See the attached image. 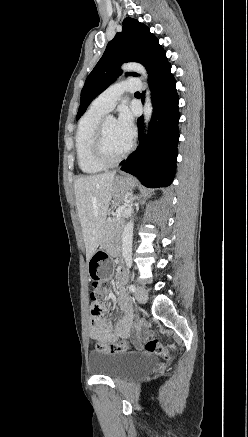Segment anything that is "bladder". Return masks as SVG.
<instances>
[{"instance_id":"bladder-1","label":"bladder","mask_w":248,"mask_h":437,"mask_svg":"<svg viewBox=\"0 0 248 437\" xmlns=\"http://www.w3.org/2000/svg\"><path fill=\"white\" fill-rule=\"evenodd\" d=\"M89 365L91 371L113 380H122L150 372L156 364L155 359L147 353H109L90 352Z\"/></svg>"}]
</instances>
